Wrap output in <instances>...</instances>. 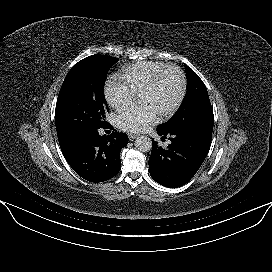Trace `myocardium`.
Listing matches in <instances>:
<instances>
[{"label": "myocardium", "mask_w": 272, "mask_h": 272, "mask_svg": "<svg viewBox=\"0 0 272 272\" xmlns=\"http://www.w3.org/2000/svg\"><path fill=\"white\" fill-rule=\"evenodd\" d=\"M170 69H173L179 73L180 78H181V87H180L179 96H178L176 102L169 110H167L166 112H164L160 115L161 119H167V118H170L171 116H173L179 110V108L181 107V105L184 101V98L186 95V90H187V79H186V75H185L184 71L179 66H177L175 64H167L166 66L161 68L151 78V80L143 87V89L139 92V97H140L141 95L153 90L157 86V84L159 83L162 75Z\"/></svg>", "instance_id": "1"}]
</instances>
